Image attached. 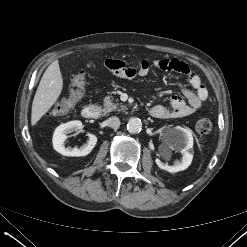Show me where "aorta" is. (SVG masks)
Returning a JSON list of instances; mask_svg holds the SVG:
<instances>
[{
  "label": "aorta",
  "instance_id": "obj_1",
  "mask_svg": "<svg viewBox=\"0 0 247 247\" xmlns=\"http://www.w3.org/2000/svg\"><path fill=\"white\" fill-rule=\"evenodd\" d=\"M129 133L137 134L142 130V122L139 118H131L127 123Z\"/></svg>",
  "mask_w": 247,
  "mask_h": 247
}]
</instances>
